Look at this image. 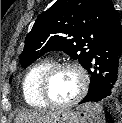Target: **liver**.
<instances>
[{
    "mask_svg": "<svg viewBox=\"0 0 122 123\" xmlns=\"http://www.w3.org/2000/svg\"><path fill=\"white\" fill-rule=\"evenodd\" d=\"M53 116L54 112L52 111H26L18 114L15 123H48Z\"/></svg>",
    "mask_w": 122,
    "mask_h": 123,
    "instance_id": "6515ba94",
    "label": "liver"
}]
</instances>
